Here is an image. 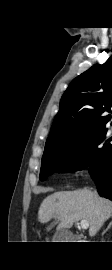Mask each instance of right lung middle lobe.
Here are the masks:
<instances>
[{
  "instance_id": "1",
  "label": "right lung middle lobe",
  "mask_w": 112,
  "mask_h": 270,
  "mask_svg": "<svg viewBox=\"0 0 112 270\" xmlns=\"http://www.w3.org/2000/svg\"><path fill=\"white\" fill-rule=\"evenodd\" d=\"M105 127L94 130L75 140L45 146L42 156L40 179L56 171H76L90 165V172L98 170L103 164L112 144L106 140Z\"/></svg>"
}]
</instances>
